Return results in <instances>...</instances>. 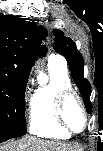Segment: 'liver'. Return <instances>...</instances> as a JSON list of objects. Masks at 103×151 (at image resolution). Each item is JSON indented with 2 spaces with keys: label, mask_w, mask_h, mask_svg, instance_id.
Returning <instances> with one entry per match:
<instances>
[{
  "label": "liver",
  "mask_w": 103,
  "mask_h": 151,
  "mask_svg": "<svg viewBox=\"0 0 103 151\" xmlns=\"http://www.w3.org/2000/svg\"><path fill=\"white\" fill-rule=\"evenodd\" d=\"M1 151H81L68 143L53 142L34 136L1 146Z\"/></svg>",
  "instance_id": "obj_1"
}]
</instances>
